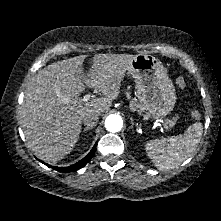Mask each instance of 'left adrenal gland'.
<instances>
[{
  "label": "left adrenal gland",
  "instance_id": "obj_1",
  "mask_svg": "<svg viewBox=\"0 0 221 221\" xmlns=\"http://www.w3.org/2000/svg\"><path fill=\"white\" fill-rule=\"evenodd\" d=\"M130 120H131V126L129 127V130H132V132L134 133V129H133L134 122H133V119L131 117H130Z\"/></svg>",
  "mask_w": 221,
  "mask_h": 221
}]
</instances>
